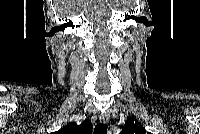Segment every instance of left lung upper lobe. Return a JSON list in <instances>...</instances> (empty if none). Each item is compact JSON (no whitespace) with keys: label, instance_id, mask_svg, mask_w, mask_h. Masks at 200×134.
Instances as JSON below:
<instances>
[{"label":"left lung upper lobe","instance_id":"obj_1","mask_svg":"<svg viewBox=\"0 0 200 134\" xmlns=\"http://www.w3.org/2000/svg\"><path fill=\"white\" fill-rule=\"evenodd\" d=\"M121 134H146V130L143 128V126L139 125L138 122L137 124H134V118L128 117Z\"/></svg>","mask_w":200,"mask_h":134}]
</instances>
